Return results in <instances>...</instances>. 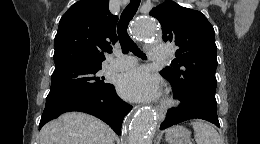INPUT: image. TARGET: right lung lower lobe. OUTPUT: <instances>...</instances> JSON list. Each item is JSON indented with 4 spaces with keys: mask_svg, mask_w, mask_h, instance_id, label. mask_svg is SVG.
<instances>
[{
    "mask_svg": "<svg viewBox=\"0 0 260 144\" xmlns=\"http://www.w3.org/2000/svg\"><path fill=\"white\" fill-rule=\"evenodd\" d=\"M131 109L132 106L116 94L114 86L93 95L65 94L47 97L39 129L65 112L80 111L101 119L120 135L123 119Z\"/></svg>",
    "mask_w": 260,
    "mask_h": 144,
    "instance_id": "right-lung-lower-lobe-1",
    "label": "right lung lower lobe"
}]
</instances>
